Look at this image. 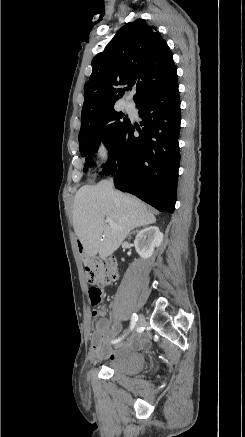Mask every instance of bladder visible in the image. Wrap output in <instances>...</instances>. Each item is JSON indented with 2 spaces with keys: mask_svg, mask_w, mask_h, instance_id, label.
Segmentation results:
<instances>
[{
  "mask_svg": "<svg viewBox=\"0 0 245 437\" xmlns=\"http://www.w3.org/2000/svg\"><path fill=\"white\" fill-rule=\"evenodd\" d=\"M145 365V355L140 352H122L108 363V368L121 375H133Z\"/></svg>",
  "mask_w": 245,
  "mask_h": 437,
  "instance_id": "obj_1",
  "label": "bladder"
}]
</instances>
